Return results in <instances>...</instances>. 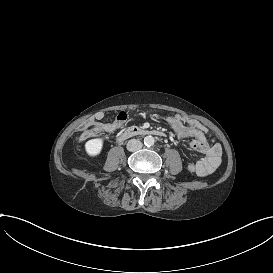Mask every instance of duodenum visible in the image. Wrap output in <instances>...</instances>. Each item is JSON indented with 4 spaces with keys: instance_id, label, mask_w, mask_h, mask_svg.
<instances>
[{
    "instance_id": "410a0bca",
    "label": "duodenum",
    "mask_w": 273,
    "mask_h": 273,
    "mask_svg": "<svg viewBox=\"0 0 273 273\" xmlns=\"http://www.w3.org/2000/svg\"><path fill=\"white\" fill-rule=\"evenodd\" d=\"M145 135L163 137L164 133L157 129H146V128H140L137 126H131L126 128L119 134L118 140L122 142L135 136H145Z\"/></svg>"
}]
</instances>
